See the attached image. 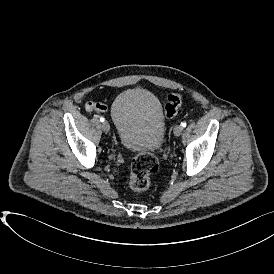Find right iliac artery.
Listing matches in <instances>:
<instances>
[{"label":"right iliac artery","instance_id":"right-iliac-artery-1","mask_svg":"<svg viewBox=\"0 0 274 274\" xmlns=\"http://www.w3.org/2000/svg\"><path fill=\"white\" fill-rule=\"evenodd\" d=\"M104 120H105L104 117H100L101 122H104Z\"/></svg>","mask_w":274,"mask_h":274}]
</instances>
